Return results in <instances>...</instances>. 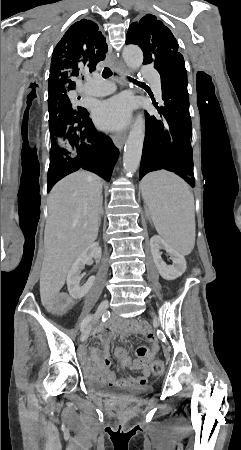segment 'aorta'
Here are the masks:
<instances>
[{"mask_svg": "<svg viewBox=\"0 0 241 450\" xmlns=\"http://www.w3.org/2000/svg\"><path fill=\"white\" fill-rule=\"evenodd\" d=\"M123 58L126 64L134 70L138 69L143 63V53L135 45H128L123 49ZM144 137L145 118L143 114H138L124 147L123 166L128 174H134L140 165Z\"/></svg>", "mask_w": 241, "mask_h": 450, "instance_id": "1", "label": "aorta"}]
</instances>
